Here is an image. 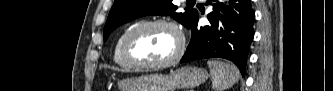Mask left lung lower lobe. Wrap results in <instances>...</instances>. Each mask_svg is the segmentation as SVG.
Segmentation results:
<instances>
[{"label": "left lung lower lobe", "mask_w": 333, "mask_h": 91, "mask_svg": "<svg viewBox=\"0 0 333 91\" xmlns=\"http://www.w3.org/2000/svg\"><path fill=\"white\" fill-rule=\"evenodd\" d=\"M208 0L213 5V12L208 14L210 25L198 27V15L190 26L191 41L180 63L221 57L235 63L242 76L250 44L254 38L253 23L255 14L251 0H233L230 6Z\"/></svg>", "instance_id": "left-lung-lower-lobe-1"}]
</instances>
